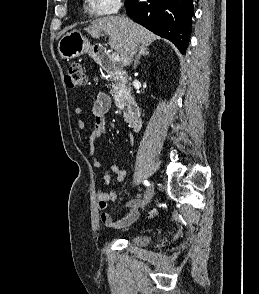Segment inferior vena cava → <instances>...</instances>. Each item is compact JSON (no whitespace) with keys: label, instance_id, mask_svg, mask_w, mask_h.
<instances>
[{"label":"inferior vena cava","instance_id":"obj_1","mask_svg":"<svg viewBox=\"0 0 259 294\" xmlns=\"http://www.w3.org/2000/svg\"><path fill=\"white\" fill-rule=\"evenodd\" d=\"M136 51H137V46H136L135 43L132 42V43L130 44V50H129L130 61H132V59H133V57H134Z\"/></svg>","mask_w":259,"mask_h":294}]
</instances>
